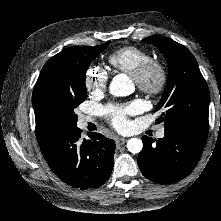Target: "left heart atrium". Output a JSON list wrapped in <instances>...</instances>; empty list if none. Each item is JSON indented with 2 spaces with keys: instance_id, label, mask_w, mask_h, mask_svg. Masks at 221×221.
Instances as JSON below:
<instances>
[{
  "instance_id": "1",
  "label": "left heart atrium",
  "mask_w": 221,
  "mask_h": 221,
  "mask_svg": "<svg viewBox=\"0 0 221 221\" xmlns=\"http://www.w3.org/2000/svg\"><path fill=\"white\" fill-rule=\"evenodd\" d=\"M140 109V104L132 102L123 108L108 107L107 111L114 114L113 123L118 129H123L126 126V115L137 112Z\"/></svg>"
}]
</instances>
